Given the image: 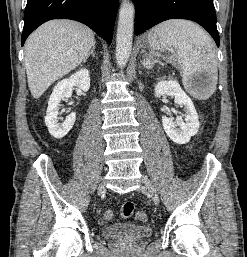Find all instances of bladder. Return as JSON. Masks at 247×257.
I'll use <instances>...</instances> for the list:
<instances>
[{"instance_id": "obj_1", "label": "bladder", "mask_w": 247, "mask_h": 257, "mask_svg": "<svg viewBox=\"0 0 247 257\" xmlns=\"http://www.w3.org/2000/svg\"><path fill=\"white\" fill-rule=\"evenodd\" d=\"M106 239L125 243H139L151 237L153 230L149 226L136 224H112L102 230Z\"/></svg>"}]
</instances>
